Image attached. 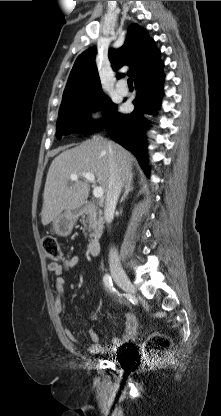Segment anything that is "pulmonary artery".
<instances>
[{
	"label": "pulmonary artery",
	"instance_id": "pulmonary-artery-1",
	"mask_svg": "<svg viewBox=\"0 0 221 416\" xmlns=\"http://www.w3.org/2000/svg\"><path fill=\"white\" fill-rule=\"evenodd\" d=\"M117 92L120 94V95H123V96H125V95H127L128 94V92H129V90H128V87H126L125 85H124V83H123V81H120L119 83H118V85H117Z\"/></svg>",
	"mask_w": 221,
	"mask_h": 416
}]
</instances>
